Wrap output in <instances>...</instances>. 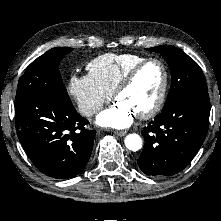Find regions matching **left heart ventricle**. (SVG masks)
Here are the masks:
<instances>
[{
  "label": "left heart ventricle",
  "instance_id": "1",
  "mask_svg": "<svg viewBox=\"0 0 221 221\" xmlns=\"http://www.w3.org/2000/svg\"><path fill=\"white\" fill-rule=\"evenodd\" d=\"M163 81V72L156 63L144 67L133 83L121 92L117 101L129 106L137 115L148 110L156 101Z\"/></svg>",
  "mask_w": 221,
  "mask_h": 221
}]
</instances>
